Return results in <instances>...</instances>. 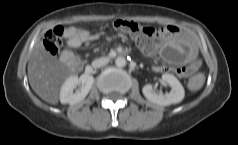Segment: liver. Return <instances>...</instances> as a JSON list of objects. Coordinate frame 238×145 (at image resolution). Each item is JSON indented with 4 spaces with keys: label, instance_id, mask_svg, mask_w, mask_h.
<instances>
[{
    "label": "liver",
    "instance_id": "1",
    "mask_svg": "<svg viewBox=\"0 0 238 145\" xmlns=\"http://www.w3.org/2000/svg\"><path fill=\"white\" fill-rule=\"evenodd\" d=\"M68 56L70 58H68ZM78 70L73 55L63 52L60 59L51 56L42 42L35 45L28 62V79L33 91L44 101L57 104L61 84Z\"/></svg>",
    "mask_w": 238,
    "mask_h": 145
}]
</instances>
